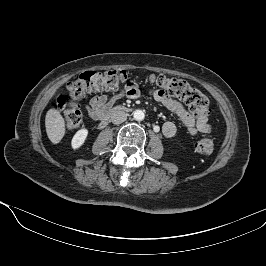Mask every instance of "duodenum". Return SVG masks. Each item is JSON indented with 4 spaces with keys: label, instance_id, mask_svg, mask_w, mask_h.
Listing matches in <instances>:
<instances>
[{
    "label": "duodenum",
    "instance_id": "410a0bca",
    "mask_svg": "<svg viewBox=\"0 0 266 266\" xmlns=\"http://www.w3.org/2000/svg\"><path fill=\"white\" fill-rule=\"evenodd\" d=\"M122 111H127V108L124 106H114V107H110L106 113L104 114L103 118L101 119L99 126L100 127H104L109 118L111 117L112 114L117 113V112H122Z\"/></svg>",
    "mask_w": 266,
    "mask_h": 266
}]
</instances>
